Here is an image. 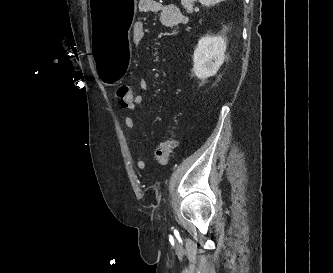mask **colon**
I'll list each match as a JSON object with an SVG mask.
<instances>
[{
  "mask_svg": "<svg viewBox=\"0 0 333 273\" xmlns=\"http://www.w3.org/2000/svg\"><path fill=\"white\" fill-rule=\"evenodd\" d=\"M117 95L120 105L124 109L137 106L136 95L133 94L132 90L128 86H120L117 90ZM174 147L175 141L173 139H166L160 142L154 151L155 160L161 165L167 164Z\"/></svg>",
  "mask_w": 333,
  "mask_h": 273,
  "instance_id": "1",
  "label": "colon"
}]
</instances>
